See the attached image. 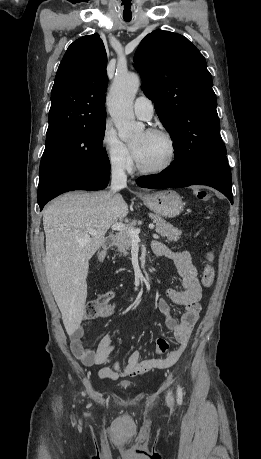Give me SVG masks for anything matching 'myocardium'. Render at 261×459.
<instances>
[{
  "instance_id": "obj_1",
  "label": "myocardium",
  "mask_w": 261,
  "mask_h": 459,
  "mask_svg": "<svg viewBox=\"0 0 261 459\" xmlns=\"http://www.w3.org/2000/svg\"><path fill=\"white\" fill-rule=\"evenodd\" d=\"M147 133L163 137L166 140L168 144V156L162 164L155 167H143L136 160V169L138 172L145 175L159 174L170 168L174 163L177 153L176 143L173 136L166 130L151 128L147 130Z\"/></svg>"
}]
</instances>
